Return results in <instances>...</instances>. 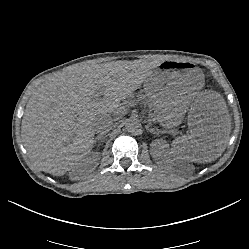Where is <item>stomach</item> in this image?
Listing matches in <instances>:
<instances>
[{
	"label": "stomach",
	"instance_id": "obj_1",
	"mask_svg": "<svg viewBox=\"0 0 249 249\" xmlns=\"http://www.w3.org/2000/svg\"><path fill=\"white\" fill-rule=\"evenodd\" d=\"M204 87L202 70L191 63L164 61L144 83L145 99L164 127L178 125L186 109Z\"/></svg>",
	"mask_w": 249,
	"mask_h": 249
}]
</instances>
